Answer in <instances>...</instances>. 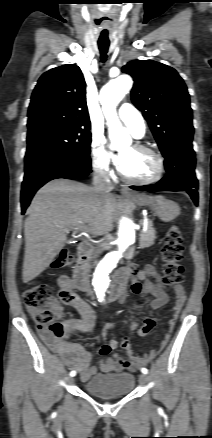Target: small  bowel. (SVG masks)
I'll return each instance as SVG.
<instances>
[{"instance_id":"1","label":"small bowel","mask_w":212,"mask_h":438,"mask_svg":"<svg viewBox=\"0 0 212 438\" xmlns=\"http://www.w3.org/2000/svg\"><path fill=\"white\" fill-rule=\"evenodd\" d=\"M123 282L128 277L135 276L139 281H133L131 290L136 295H145L150 293L154 296V299L147 304L149 309H158L167 304L168 288L162 283L161 277L156 268L152 265H147L143 269H137L135 265H129L121 270L118 275ZM140 281H143L141 283ZM57 287L60 300L64 301V295L67 293H73L74 284L70 277L61 275L57 279ZM172 291L175 296V302L173 306V316L168 323V332L166 333L162 345H165L170 337L171 332L175 327L176 320L179 316L181 309L186 301V291L181 284H175L172 287ZM69 305L75 307L81 314V319L73 320L66 319L61 322L64 326L65 333H74L77 330H81L85 333H93L95 331V313L93 309L83 300L76 297V300ZM54 313L57 319H62L65 316L64 308L55 303ZM156 326V321L152 317H146L144 319L143 326L138 330L140 336H145L151 332ZM112 323H108L106 328H111ZM39 334L44 342L56 353H58L65 364L79 372L80 378L83 381L88 380L92 375L97 372V367L91 365V355L84 350V348L76 343L67 342L63 338L55 337L47 328L40 327ZM120 346L127 354V358L124 359L118 354L114 353L107 357L113 350ZM100 354L104 358L99 361V367L103 372H120L123 370L135 371L141 366L147 363V359L138 356L132 349L130 342L127 339H123L121 342L111 339L100 348Z\"/></svg>"}]
</instances>
